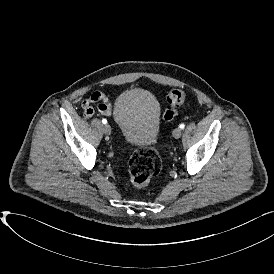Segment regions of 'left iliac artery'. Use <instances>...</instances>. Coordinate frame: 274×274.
<instances>
[{"mask_svg":"<svg viewBox=\"0 0 274 274\" xmlns=\"http://www.w3.org/2000/svg\"><path fill=\"white\" fill-rule=\"evenodd\" d=\"M179 127H180L181 129H183V128L185 127V125H184V124H180Z\"/></svg>","mask_w":274,"mask_h":274,"instance_id":"left-iliac-artery-1","label":"left iliac artery"}]
</instances>
